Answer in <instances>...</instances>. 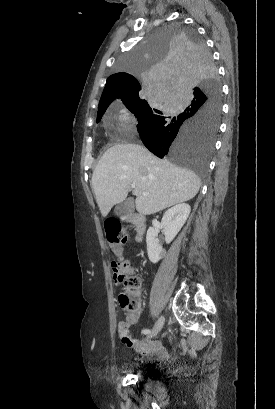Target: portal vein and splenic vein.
Here are the masks:
<instances>
[{
    "label": "portal vein and splenic vein",
    "mask_w": 275,
    "mask_h": 409,
    "mask_svg": "<svg viewBox=\"0 0 275 409\" xmlns=\"http://www.w3.org/2000/svg\"><path fill=\"white\" fill-rule=\"evenodd\" d=\"M132 188H135V184H131ZM142 194H147V192H142Z\"/></svg>",
    "instance_id": "obj_1"
}]
</instances>
